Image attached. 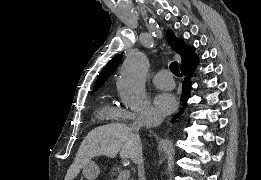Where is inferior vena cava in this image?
Here are the masks:
<instances>
[{
	"label": "inferior vena cava",
	"mask_w": 261,
	"mask_h": 180,
	"mask_svg": "<svg viewBox=\"0 0 261 180\" xmlns=\"http://www.w3.org/2000/svg\"><path fill=\"white\" fill-rule=\"evenodd\" d=\"M138 128H141V124H138ZM135 130H137V128H135ZM133 164H137L139 176H142V174H144L142 152H138V154H136L135 158H133Z\"/></svg>",
	"instance_id": "1"
}]
</instances>
